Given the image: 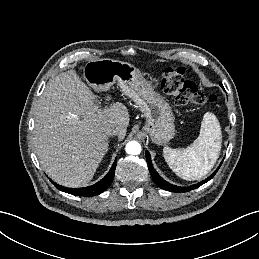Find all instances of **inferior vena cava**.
<instances>
[{
    "mask_svg": "<svg viewBox=\"0 0 259 259\" xmlns=\"http://www.w3.org/2000/svg\"><path fill=\"white\" fill-rule=\"evenodd\" d=\"M119 134H120V129H119L118 127L110 128V129L107 131V135H108V136L119 135Z\"/></svg>",
    "mask_w": 259,
    "mask_h": 259,
    "instance_id": "602c4592",
    "label": "inferior vena cava"
}]
</instances>
